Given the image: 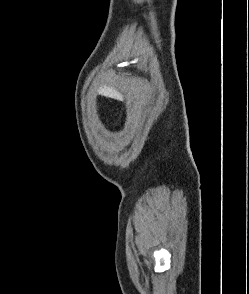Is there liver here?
<instances>
[{
  "mask_svg": "<svg viewBox=\"0 0 249 294\" xmlns=\"http://www.w3.org/2000/svg\"><path fill=\"white\" fill-rule=\"evenodd\" d=\"M101 92L110 97L121 98V95L115 89L110 87H102Z\"/></svg>",
  "mask_w": 249,
  "mask_h": 294,
  "instance_id": "obj_1",
  "label": "liver"
}]
</instances>
